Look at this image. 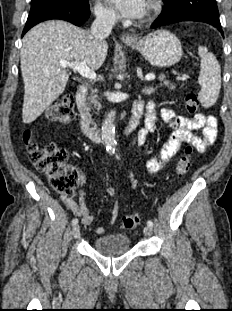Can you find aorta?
Returning a JSON list of instances; mask_svg holds the SVG:
<instances>
[{
  "label": "aorta",
  "instance_id": "762f6f07",
  "mask_svg": "<svg viewBox=\"0 0 232 311\" xmlns=\"http://www.w3.org/2000/svg\"><path fill=\"white\" fill-rule=\"evenodd\" d=\"M116 112L111 110L102 125L101 132H102V141L106 147V150L112 154L115 151L116 147V138H115V120Z\"/></svg>",
  "mask_w": 232,
  "mask_h": 311
}]
</instances>
